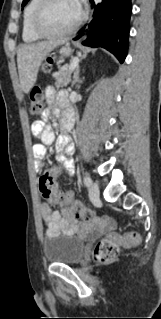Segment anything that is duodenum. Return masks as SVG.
<instances>
[{"label":"duodenum","instance_id":"1","mask_svg":"<svg viewBox=\"0 0 161 319\" xmlns=\"http://www.w3.org/2000/svg\"><path fill=\"white\" fill-rule=\"evenodd\" d=\"M72 128V122L70 119H64L62 122V130L64 132H69Z\"/></svg>","mask_w":161,"mask_h":319}]
</instances>
